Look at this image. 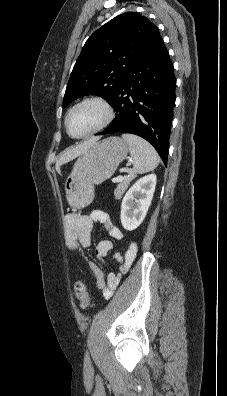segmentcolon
Returning a JSON list of instances; mask_svg holds the SVG:
<instances>
[{
  "label": "colon",
  "instance_id": "1",
  "mask_svg": "<svg viewBox=\"0 0 227 396\" xmlns=\"http://www.w3.org/2000/svg\"><path fill=\"white\" fill-rule=\"evenodd\" d=\"M76 297L80 300L82 308H88L92 305L91 300L86 292V286L82 281H77L74 285Z\"/></svg>",
  "mask_w": 227,
  "mask_h": 396
}]
</instances>
